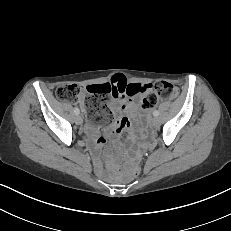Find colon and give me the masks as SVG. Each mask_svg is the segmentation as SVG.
I'll list each match as a JSON object with an SVG mask.
<instances>
[{
	"instance_id": "obj_1",
	"label": "colon",
	"mask_w": 231,
	"mask_h": 231,
	"mask_svg": "<svg viewBox=\"0 0 231 231\" xmlns=\"http://www.w3.org/2000/svg\"><path fill=\"white\" fill-rule=\"evenodd\" d=\"M145 91V88H133V92ZM86 93V100L84 99L83 107L86 108L90 120L101 125L107 124L112 117V113L107 106V101L115 92V88L108 84H96L79 88L74 84L61 85L56 89V96L62 101L79 102L82 93ZM176 95L175 87L166 81H160L152 86V91L148 92L143 100L145 108H152L156 106L160 97L173 98ZM141 171V163L136 160L131 167V174L137 176Z\"/></svg>"
}]
</instances>
